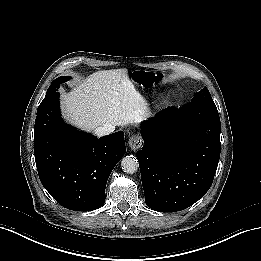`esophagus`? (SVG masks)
I'll return each instance as SVG.
<instances>
[{
    "label": "esophagus",
    "instance_id": "obj_1",
    "mask_svg": "<svg viewBox=\"0 0 261 261\" xmlns=\"http://www.w3.org/2000/svg\"><path fill=\"white\" fill-rule=\"evenodd\" d=\"M142 144L143 139L138 134L132 135L128 140L129 147L134 151L139 149L142 146Z\"/></svg>",
    "mask_w": 261,
    "mask_h": 261
}]
</instances>
